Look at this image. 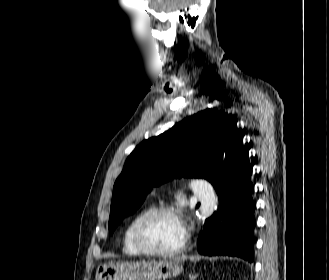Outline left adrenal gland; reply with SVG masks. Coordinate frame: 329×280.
<instances>
[{"mask_svg":"<svg viewBox=\"0 0 329 280\" xmlns=\"http://www.w3.org/2000/svg\"><path fill=\"white\" fill-rule=\"evenodd\" d=\"M197 274L190 273L189 274V280H195L197 278Z\"/></svg>","mask_w":329,"mask_h":280,"instance_id":"left-adrenal-gland-1","label":"left adrenal gland"}]
</instances>
